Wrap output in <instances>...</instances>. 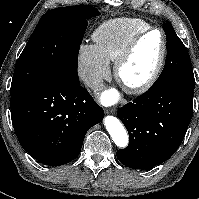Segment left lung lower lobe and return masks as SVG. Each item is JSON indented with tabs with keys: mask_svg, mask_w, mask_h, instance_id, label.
<instances>
[{
	"mask_svg": "<svg viewBox=\"0 0 199 199\" xmlns=\"http://www.w3.org/2000/svg\"><path fill=\"white\" fill-rule=\"evenodd\" d=\"M195 82L176 81L150 88L118 110L130 142L117 158L133 169H147L168 160L183 141L193 114Z\"/></svg>",
	"mask_w": 199,
	"mask_h": 199,
	"instance_id": "left-lung-lower-lobe-1",
	"label": "left lung lower lobe"
}]
</instances>
